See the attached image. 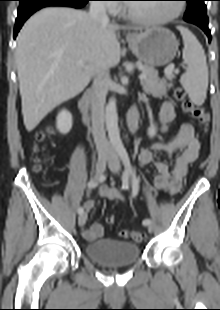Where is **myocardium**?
Instances as JSON below:
<instances>
[{
  "mask_svg": "<svg viewBox=\"0 0 220 310\" xmlns=\"http://www.w3.org/2000/svg\"><path fill=\"white\" fill-rule=\"evenodd\" d=\"M183 10H184L183 5L180 2H178L176 4L174 12L170 14L169 16L159 18V19H150V18H146V17L132 13L128 9V6L125 5L123 7V15L136 23L150 25V26H160V25H164V24H167V23H170L176 20L182 14Z\"/></svg>",
  "mask_w": 220,
  "mask_h": 310,
  "instance_id": "myocardium-1",
  "label": "myocardium"
}]
</instances>
